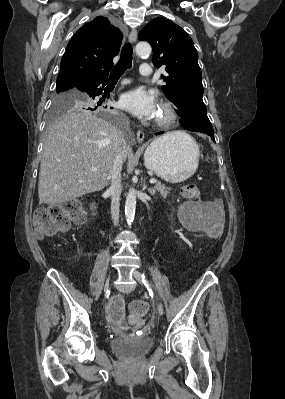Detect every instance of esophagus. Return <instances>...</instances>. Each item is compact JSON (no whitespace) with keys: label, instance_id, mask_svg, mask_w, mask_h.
Returning a JSON list of instances; mask_svg holds the SVG:
<instances>
[{"label":"esophagus","instance_id":"obj_1","mask_svg":"<svg viewBox=\"0 0 285 399\" xmlns=\"http://www.w3.org/2000/svg\"><path fill=\"white\" fill-rule=\"evenodd\" d=\"M136 39H137V31L134 29V30L131 31V33L129 35V41L131 43H134L136 41ZM144 136H145V134H144V132L142 130H138L137 131V141L139 143L143 142Z\"/></svg>","mask_w":285,"mask_h":399}]
</instances>
